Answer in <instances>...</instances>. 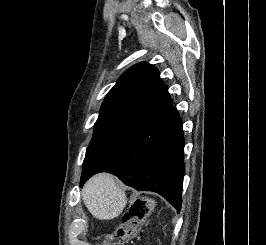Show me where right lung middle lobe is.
Wrapping results in <instances>:
<instances>
[{
    "label": "right lung middle lobe",
    "mask_w": 266,
    "mask_h": 245,
    "mask_svg": "<svg viewBox=\"0 0 266 245\" xmlns=\"http://www.w3.org/2000/svg\"><path fill=\"white\" fill-rule=\"evenodd\" d=\"M143 121L116 116H99L94 126V134L87 149L83 171L98 158L116 146Z\"/></svg>",
    "instance_id": "1"
}]
</instances>
